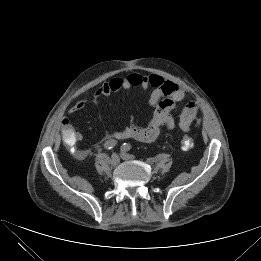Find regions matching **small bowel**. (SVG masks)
I'll return each mask as SVG.
<instances>
[{"instance_id":"c3829d8e","label":"small bowel","mask_w":261,"mask_h":261,"mask_svg":"<svg viewBox=\"0 0 261 261\" xmlns=\"http://www.w3.org/2000/svg\"><path fill=\"white\" fill-rule=\"evenodd\" d=\"M131 88L148 89L152 88L149 97V105L154 108V112L149 121L143 125H129L121 130H113L110 133L112 139H135L141 142H152L159 136L161 127L165 126L168 130L176 127V121L171 111L185 98V91L176 83L164 79L157 74H141L131 72L126 76H116L103 83L93 94L92 98L108 97L120 90ZM86 105L85 100H78L70 108L69 113L73 114L82 110ZM198 105L195 102L186 103L179 116L178 125L184 132L188 131L192 123L197 119ZM74 132L72 141L63 140L66 144L74 146L82 140L79 132ZM78 156H85L88 150L77 151Z\"/></svg>"}]
</instances>
